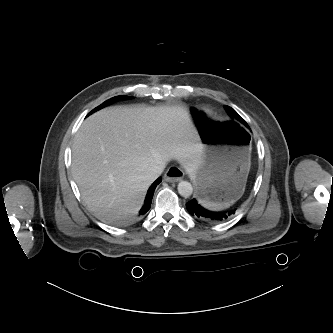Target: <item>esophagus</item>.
I'll list each match as a JSON object with an SVG mask.
<instances>
[{"label":"esophagus","mask_w":333,"mask_h":333,"mask_svg":"<svg viewBox=\"0 0 333 333\" xmlns=\"http://www.w3.org/2000/svg\"><path fill=\"white\" fill-rule=\"evenodd\" d=\"M184 176V171L177 167L169 168L164 176L165 181L167 182H178Z\"/></svg>","instance_id":"esophagus-1"}]
</instances>
